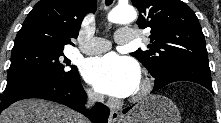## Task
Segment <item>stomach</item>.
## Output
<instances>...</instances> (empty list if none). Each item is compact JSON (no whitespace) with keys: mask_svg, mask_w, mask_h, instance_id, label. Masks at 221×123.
<instances>
[{"mask_svg":"<svg viewBox=\"0 0 221 123\" xmlns=\"http://www.w3.org/2000/svg\"><path fill=\"white\" fill-rule=\"evenodd\" d=\"M178 107L168 98L151 95L136 104L122 123H180Z\"/></svg>","mask_w":221,"mask_h":123,"instance_id":"obj_1","label":"stomach"}]
</instances>
